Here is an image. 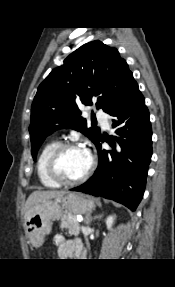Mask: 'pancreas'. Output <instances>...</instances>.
Listing matches in <instances>:
<instances>
[{
    "instance_id": "pancreas-1",
    "label": "pancreas",
    "mask_w": 175,
    "mask_h": 287,
    "mask_svg": "<svg viewBox=\"0 0 175 287\" xmlns=\"http://www.w3.org/2000/svg\"><path fill=\"white\" fill-rule=\"evenodd\" d=\"M60 228L68 230L70 235H78L80 233V226L76 216L67 211H64L61 216Z\"/></svg>"
}]
</instances>
